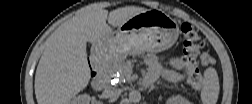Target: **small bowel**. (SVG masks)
Instances as JSON below:
<instances>
[{"instance_id": "c3829d8e", "label": "small bowel", "mask_w": 252, "mask_h": 104, "mask_svg": "<svg viewBox=\"0 0 252 104\" xmlns=\"http://www.w3.org/2000/svg\"><path fill=\"white\" fill-rule=\"evenodd\" d=\"M146 63L148 65V73L145 77V83L151 84L159 77H164L165 79L176 82L182 78L180 71L183 70L184 65L181 59L172 58L170 60V69H163L159 63L157 56L150 54L146 57Z\"/></svg>"}]
</instances>
